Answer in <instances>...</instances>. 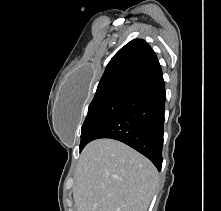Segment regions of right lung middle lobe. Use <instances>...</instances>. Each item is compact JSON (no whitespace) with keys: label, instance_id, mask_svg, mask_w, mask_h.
I'll return each instance as SVG.
<instances>
[{"label":"right lung middle lobe","instance_id":"right-lung-middle-lobe-1","mask_svg":"<svg viewBox=\"0 0 221 211\" xmlns=\"http://www.w3.org/2000/svg\"><path fill=\"white\" fill-rule=\"evenodd\" d=\"M134 91L131 88H118L94 97L82 125L80 151L119 112Z\"/></svg>","mask_w":221,"mask_h":211}]
</instances>
